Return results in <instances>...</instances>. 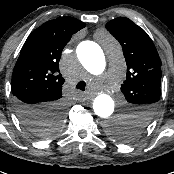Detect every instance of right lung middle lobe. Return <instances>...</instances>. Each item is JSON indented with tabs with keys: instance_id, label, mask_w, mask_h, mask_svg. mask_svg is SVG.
Returning <instances> with one entry per match:
<instances>
[{
	"instance_id": "right-lung-middle-lobe-1",
	"label": "right lung middle lobe",
	"mask_w": 174,
	"mask_h": 174,
	"mask_svg": "<svg viewBox=\"0 0 174 174\" xmlns=\"http://www.w3.org/2000/svg\"><path fill=\"white\" fill-rule=\"evenodd\" d=\"M59 116V115H56ZM61 125L59 118H52L50 121L37 120L28 123L29 128L36 135H53L55 134Z\"/></svg>"
}]
</instances>
